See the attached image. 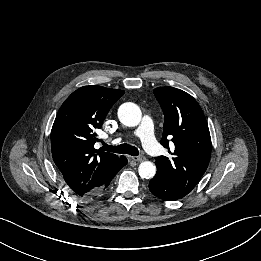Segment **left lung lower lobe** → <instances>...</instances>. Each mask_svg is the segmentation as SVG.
I'll return each mask as SVG.
<instances>
[{
	"mask_svg": "<svg viewBox=\"0 0 261 261\" xmlns=\"http://www.w3.org/2000/svg\"><path fill=\"white\" fill-rule=\"evenodd\" d=\"M149 190L153 195L165 201H175L185 196V194L175 190L166 179L158 173H156L155 177L149 182Z\"/></svg>",
	"mask_w": 261,
	"mask_h": 261,
	"instance_id": "left-lung-lower-lobe-1",
	"label": "left lung lower lobe"
}]
</instances>
